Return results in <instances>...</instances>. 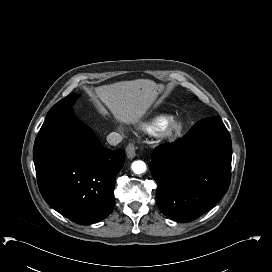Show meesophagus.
Here are the masks:
<instances>
[{
    "label": "esophagus",
    "mask_w": 272,
    "mask_h": 272,
    "mask_svg": "<svg viewBox=\"0 0 272 272\" xmlns=\"http://www.w3.org/2000/svg\"><path fill=\"white\" fill-rule=\"evenodd\" d=\"M126 155L129 159H132L136 156V147L134 143H129L126 147Z\"/></svg>",
    "instance_id": "34e87169"
}]
</instances>
